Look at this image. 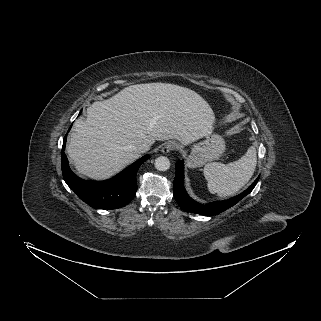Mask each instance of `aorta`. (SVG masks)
I'll list each match as a JSON object with an SVG mask.
<instances>
[{
	"instance_id": "obj_1",
	"label": "aorta",
	"mask_w": 321,
	"mask_h": 321,
	"mask_svg": "<svg viewBox=\"0 0 321 321\" xmlns=\"http://www.w3.org/2000/svg\"><path fill=\"white\" fill-rule=\"evenodd\" d=\"M154 165L157 170L166 171L170 168V161L167 157L160 156L155 159Z\"/></svg>"
}]
</instances>
